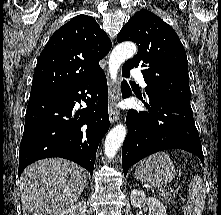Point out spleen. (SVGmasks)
Masks as SVG:
<instances>
[{"label":"spleen","instance_id":"3e777b00","mask_svg":"<svg viewBox=\"0 0 221 215\" xmlns=\"http://www.w3.org/2000/svg\"><path fill=\"white\" fill-rule=\"evenodd\" d=\"M189 195L190 198L182 208L184 215H201L205 205V190L200 177H195L190 183Z\"/></svg>","mask_w":221,"mask_h":215}]
</instances>
